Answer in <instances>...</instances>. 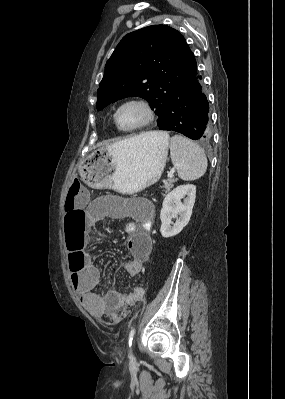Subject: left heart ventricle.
<instances>
[{"label":"left heart ventricle","mask_w":285,"mask_h":399,"mask_svg":"<svg viewBox=\"0 0 285 399\" xmlns=\"http://www.w3.org/2000/svg\"><path fill=\"white\" fill-rule=\"evenodd\" d=\"M146 112L140 105L125 106L118 115V121L122 127L129 128L143 122Z\"/></svg>","instance_id":"b2bd125f"}]
</instances>
